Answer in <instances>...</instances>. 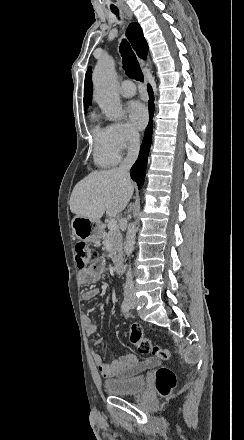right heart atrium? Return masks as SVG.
<instances>
[{"instance_id":"obj_1","label":"right heart atrium","mask_w":244,"mask_h":440,"mask_svg":"<svg viewBox=\"0 0 244 440\" xmlns=\"http://www.w3.org/2000/svg\"><path fill=\"white\" fill-rule=\"evenodd\" d=\"M106 150L121 152L131 147L137 140V133L128 124L111 122L106 128Z\"/></svg>"}]
</instances>
